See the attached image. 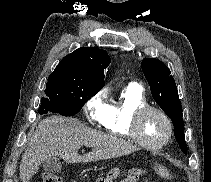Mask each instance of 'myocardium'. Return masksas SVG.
<instances>
[{
  "label": "myocardium",
  "instance_id": "f54148a6",
  "mask_svg": "<svg viewBox=\"0 0 211 182\" xmlns=\"http://www.w3.org/2000/svg\"><path fill=\"white\" fill-rule=\"evenodd\" d=\"M148 112L158 113L164 119V121L167 125V135H166L165 139L158 144H149L141 138V134H140V130H139L140 120ZM130 132H131L133 139L140 146L147 148V149H151V150H158V149L165 147L170 142V140L173 136V125H172L171 119L169 118V116L167 115V113L164 110H162L159 107L146 104V105L137 107L133 111L132 116H131V121H130Z\"/></svg>",
  "mask_w": 211,
  "mask_h": 182
}]
</instances>
